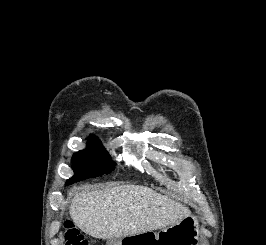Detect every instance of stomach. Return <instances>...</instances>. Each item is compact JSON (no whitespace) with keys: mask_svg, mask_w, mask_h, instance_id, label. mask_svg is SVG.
<instances>
[{"mask_svg":"<svg viewBox=\"0 0 266 245\" xmlns=\"http://www.w3.org/2000/svg\"><path fill=\"white\" fill-rule=\"evenodd\" d=\"M123 242H157L158 245H199V223L196 217H185L177 225L165 227L159 233H129Z\"/></svg>","mask_w":266,"mask_h":245,"instance_id":"stomach-1","label":"stomach"}]
</instances>
